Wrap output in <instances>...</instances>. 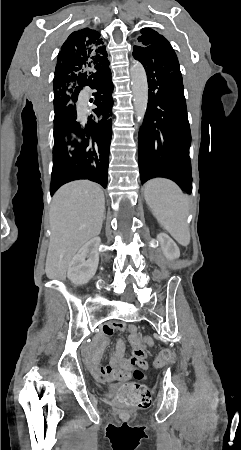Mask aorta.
<instances>
[{"mask_svg":"<svg viewBox=\"0 0 241 450\" xmlns=\"http://www.w3.org/2000/svg\"><path fill=\"white\" fill-rule=\"evenodd\" d=\"M130 75L135 115L142 124L148 104V82L145 69L139 61H133Z\"/></svg>","mask_w":241,"mask_h":450,"instance_id":"1","label":"aorta"}]
</instances>
